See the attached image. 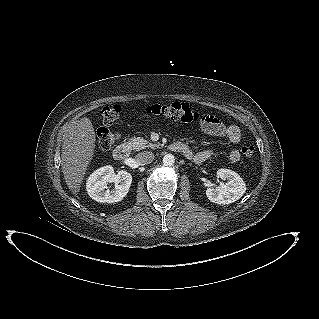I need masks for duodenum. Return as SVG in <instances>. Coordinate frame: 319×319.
<instances>
[{
	"label": "duodenum",
	"instance_id": "obj_1",
	"mask_svg": "<svg viewBox=\"0 0 319 319\" xmlns=\"http://www.w3.org/2000/svg\"><path fill=\"white\" fill-rule=\"evenodd\" d=\"M170 148L175 151V152H179L182 153L184 155L188 154V150L186 148V146H184L181 143H173L170 145ZM130 152V146L127 143H122L120 145H118L114 151H113V157L115 160L117 161H122L124 159H126L129 155Z\"/></svg>",
	"mask_w": 319,
	"mask_h": 319
}]
</instances>
